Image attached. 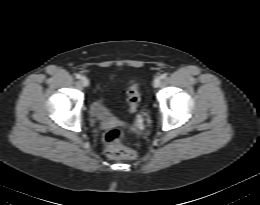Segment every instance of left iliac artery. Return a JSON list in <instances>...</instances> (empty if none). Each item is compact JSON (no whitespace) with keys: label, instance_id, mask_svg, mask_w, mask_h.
<instances>
[{"label":"left iliac artery","instance_id":"left-iliac-artery-1","mask_svg":"<svg viewBox=\"0 0 260 205\" xmlns=\"http://www.w3.org/2000/svg\"><path fill=\"white\" fill-rule=\"evenodd\" d=\"M167 77V75L164 73L161 75V79H165Z\"/></svg>","mask_w":260,"mask_h":205}]
</instances>
